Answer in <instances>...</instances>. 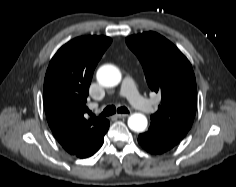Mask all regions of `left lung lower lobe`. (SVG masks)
<instances>
[{
    "label": "left lung lower lobe",
    "instance_id": "left-lung-lower-lobe-1",
    "mask_svg": "<svg viewBox=\"0 0 236 187\" xmlns=\"http://www.w3.org/2000/svg\"><path fill=\"white\" fill-rule=\"evenodd\" d=\"M181 139L172 136L168 133L156 130L152 127L147 132L142 133L138 137L139 144L148 152L153 154H162L174 146H176Z\"/></svg>",
    "mask_w": 236,
    "mask_h": 187
}]
</instances>
